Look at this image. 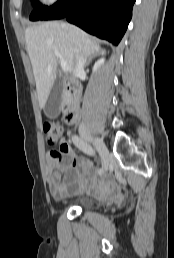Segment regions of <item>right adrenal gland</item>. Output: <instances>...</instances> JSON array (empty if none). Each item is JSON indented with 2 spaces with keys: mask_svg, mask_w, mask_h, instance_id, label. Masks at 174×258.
<instances>
[{
  "mask_svg": "<svg viewBox=\"0 0 174 258\" xmlns=\"http://www.w3.org/2000/svg\"><path fill=\"white\" fill-rule=\"evenodd\" d=\"M105 54V51L104 50H102V49H99V50H97L94 54H92V55H90L89 57H88V60H87V62H86V64H85V67H87L89 64H90V62H91V60L93 59V58H95V57H97V56H100V55H104Z\"/></svg>",
  "mask_w": 174,
  "mask_h": 258,
  "instance_id": "obj_1",
  "label": "right adrenal gland"
}]
</instances>
